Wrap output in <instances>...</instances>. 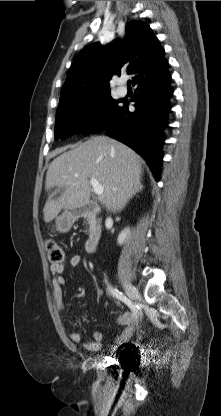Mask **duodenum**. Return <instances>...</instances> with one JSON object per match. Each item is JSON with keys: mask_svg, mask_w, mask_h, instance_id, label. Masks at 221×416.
Here are the masks:
<instances>
[{"mask_svg": "<svg viewBox=\"0 0 221 416\" xmlns=\"http://www.w3.org/2000/svg\"><path fill=\"white\" fill-rule=\"evenodd\" d=\"M98 210H99V206L97 205V203L90 201V202L83 204L82 206L72 208L69 212L71 216L80 218V217H84L87 215H95L98 212ZM100 240H101V232L99 231L98 228L94 227L91 230L87 238L86 251L88 253L95 252Z\"/></svg>", "mask_w": 221, "mask_h": 416, "instance_id": "410a0bca", "label": "duodenum"}]
</instances>
